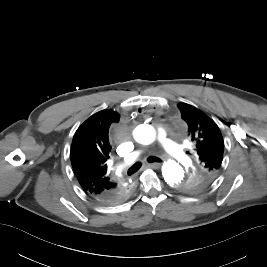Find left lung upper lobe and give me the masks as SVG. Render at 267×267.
<instances>
[{"instance_id":"obj_1","label":"left lung upper lobe","mask_w":267,"mask_h":267,"mask_svg":"<svg viewBox=\"0 0 267 267\" xmlns=\"http://www.w3.org/2000/svg\"><path fill=\"white\" fill-rule=\"evenodd\" d=\"M178 107L199 160L181 189L196 192L209 187L220 173L224 142L217 124L206 114L186 103H180Z\"/></svg>"}]
</instances>
